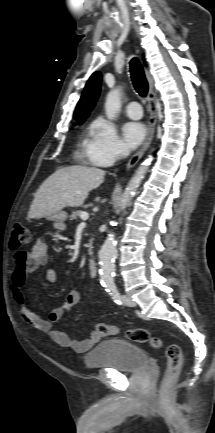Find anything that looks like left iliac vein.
<instances>
[{
    "label": "left iliac vein",
    "instance_id": "1",
    "mask_svg": "<svg viewBox=\"0 0 215 433\" xmlns=\"http://www.w3.org/2000/svg\"><path fill=\"white\" fill-rule=\"evenodd\" d=\"M122 300H123V303H124L126 306L134 307V306L136 305V303H135V302L131 299V297L128 296V295H123V296H122Z\"/></svg>",
    "mask_w": 215,
    "mask_h": 433
}]
</instances>
